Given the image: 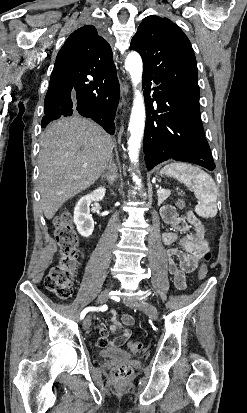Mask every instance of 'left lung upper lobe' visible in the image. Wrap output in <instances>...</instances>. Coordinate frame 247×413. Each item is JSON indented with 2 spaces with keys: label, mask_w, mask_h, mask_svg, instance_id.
<instances>
[{
  "label": "left lung upper lobe",
  "mask_w": 247,
  "mask_h": 413,
  "mask_svg": "<svg viewBox=\"0 0 247 413\" xmlns=\"http://www.w3.org/2000/svg\"><path fill=\"white\" fill-rule=\"evenodd\" d=\"M130 49L141 55L143 72L199 99L194 51L187 36L171 20L147 16L133 36Z\"/></svg>",
  "instance_id": "5c2ea615"
}]
</instances>
